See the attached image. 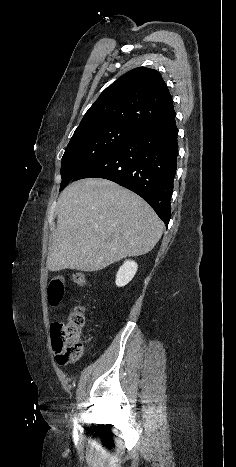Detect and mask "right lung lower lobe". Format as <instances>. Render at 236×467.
I'll use <instances>...</instances> for the list:
<instances>
[{"label":"right lung lower lobe","mask_w":236,"mask_h":467,"mask_svg":"<svg viewBox=\"0 0 236 467\" xmlns=\"http://www.w3.org/2000/svg\"><path fill=\"white\" fill-rule=\"evenodd\" d=\"M175 112L139 129L75 177L111 180L141 196L168 225L178 154Z\"/></svg>","instance_id":"1"}]
</instances>
